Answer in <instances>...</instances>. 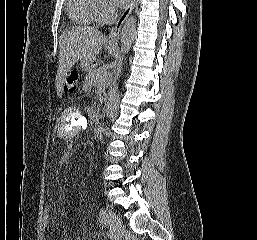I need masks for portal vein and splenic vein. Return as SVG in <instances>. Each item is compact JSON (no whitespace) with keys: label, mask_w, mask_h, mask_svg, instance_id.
<instances>
[{"label":"portal vein and splenic vein","mask_w":257,"mask_h":240,"mask_svg":"<svg viewBox=\"0 0 257 240\" xmlns=\"http://www.w3.org/2000/svg\"><path fill=\"white\" fill-rule=\"evenodd\" d=\"M105 76H106V74H105ZM106 78H107V77H106ZM106 78L100 79V81L103 83V82L106 80Z\"/></svg>","instance_id":"18ae733b"}]
</instances>
